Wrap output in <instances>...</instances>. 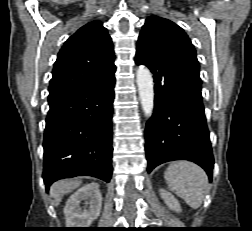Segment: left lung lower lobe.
Segmentation results:
<instances>
[{
    "mask_svg": "<svg viewBox=\"0 0 252 231\" xmlns=\"http://www.w3.org/2000/svg\"><path fill=\"white\" fill-rule=\"evenodd\" d=\"M155 82L154 112L146 124L148 172L172 160L200 165L212 180L214 159L201 95L199 65L177 56L137 52Z\"/></svg>",
    "mask_w": 252,
    "mask_h": 231,
    "instance_id": "obj_1",
    "label": "left lung lower lobe"
}]
</instances>
